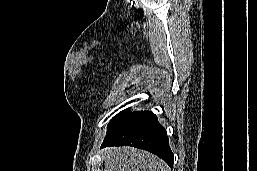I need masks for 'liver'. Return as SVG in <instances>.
Segmentation results:
<instances>
[{
  "label": "liver",
  "instance_id": "liver-1",
  "mask_svg": "<svg viewBox=\"0 0 257 171\" xmlns=\"http://www.w3.org/2000/svg\"><path fill=\"white\" fill-rule=\"evenodd\" d=\"M102 157L104 171H171L157 156L133 147L108 148Z\"/></svg>",
  "mask_w": 257,
  "mask_h": 171
}]
</instances>
